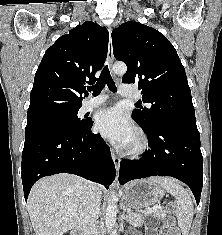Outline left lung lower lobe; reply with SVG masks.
Here are the masks:
<instances>
[{"label": "left lung lower lobe", "mask_w": 222, "mask_h": 235, "mask_svg": "<svg viewBox=\"0 0 222 235\" xmlns=\"http://www.w3.org/2000/svg\"><path fill=\"white\" fill-rule=\"evenodd\" d=\"M149 149L139 160L121 161L119 182L150 176H171L187 184L197 204L203 185V156L198 129L177 124L143 128Z\"/></svg>", "instance_id": "left-lung-lower-lobe-1"}]
</instances>
